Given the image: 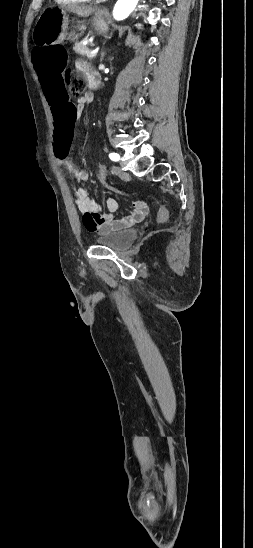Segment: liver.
Instances as JSON below:
<instances>
[{
	"label": "liver",
	"instance_id": "1",
	"mask_svg": "<svg viewBox=\"0 0 253 548\" xmlns=\"http://www.w3.org/2000/svg\"><path fill=\"white\" fill-rule=\"evenodd\" d=\"M70 11L80 17H88L95 12V9L87 6H73L70 8Z\"/></svg>",
	"mask_w": 253,
	"mask_h": 548
}]
</instances>
